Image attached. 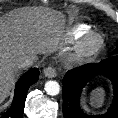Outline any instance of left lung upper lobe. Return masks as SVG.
<instances>
[{"label": "left lung upper lobe", "mask_w": 118, "mask_h": 118, "mask_svg": "<svg viewBox=\"0 0 118 118\" xmlns=\"http://www.w3.org/2000/svg\"><path fill=\"white\" fill-rule=\"evenodd\" d=\"M112 55H118V43L116 49L112 52Z\"/></svg>", "instance_id": "left-lung-upper-lobe-1"}]
</instances>
